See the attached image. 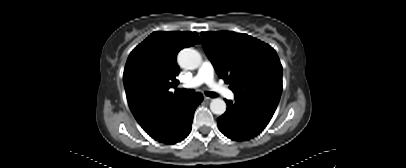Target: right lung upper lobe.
<instances>
[{
	"label": "right lung upper lobe",
	"mask_w": 406,
	"mask_h": 168,
	"mask_svg": "<svg viewBox=\"0 0 406 168\" xmlns=\"http://www.w3.org/2000/svg\"><path fill=\"white\" fill-rule=\"evenodd\" d=\"M200 43L196 32H153L130 53L123 81L129 107L145 130L164 115L180 95L169 91L178 84V52Z\"/></svg>",
	"instance_id": "right-lung-upper-lobe-1"
}]
</instances>
